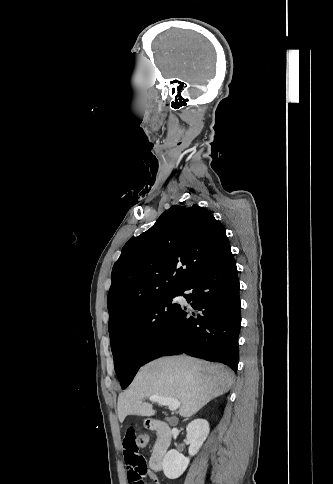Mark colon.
I'll use <instances>...</instances> for the list:
<instances>
[{"label": "colon", "mask_w": 333, "mask_h": 484, "mask_svg": "<svg viewBox=\"0 0 333 484\" xmlns=\"http://www.w3.org/2000/svg\"><path fill=\"white\" fill-rule=\"evenodd\" d=\"M136 443L139 446V448L146 447L148 444V436L146 434H140L136 438Z\"/></svg>", "instance_id": "5ec220e1"}]
</instances>
